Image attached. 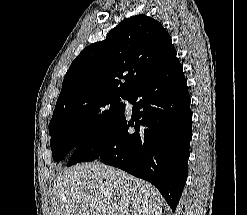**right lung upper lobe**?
Wrapping results in <instances>:
<instances>
[{"label":"right lung upper lobe","instance_id":"right-lung-upper-lobe-1","mask_svg":"<svg viewBox=\"0 0 247 215\" xmlns=\"http://www.w3.org/2000/svg\"><path fill=\"white\" fill-rule=\"evenodd\" d=\"M173 50L171 37L160 22L145 15L125 20L72 62L54 112L96 95L129 96L160 69Z\"/></svg>","mask_w":247,"mask_h":215}]
</instances>
